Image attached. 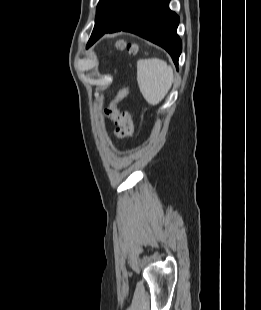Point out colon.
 Segmentation results:
<instances>
[{
    "label": "colon",
    "instance_id": "obj_1",
    "mask_svg": "<svg viewBox=\"0 0 261 310\" xmlns=\"http://www.w3.org/2000/svg\"><path fill=\"white\" fill-rule=\"evenodd\" d=\"M119 49H126L130 53H136L137 47L133 44H126L124 41L117 43ZM128 88L121 89L115 99L104 109L105 117L111 119L116 125L115 134L121 138L131 137L133 133V124L130 114L126 111L119 112L117 105L128 95Z\"/></svg>",
    "mask_w": 261,
    "mask_h": 310
}]
</instances>
